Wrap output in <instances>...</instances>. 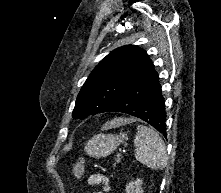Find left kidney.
<instances>
[{
    "mask_svg": "<svg viewBox=\"0 0 221 193\" xmlns=\"http://www.w3.org/2000/svg\"><path fill=\"white\" fill-rule=\"evenodd\" d=\"M143 184V181L140 179L135 180L134 182H130L126 186V193H143V190L141 188Z\"/></svg>",
    "mask_w": 221,
    "mask_h": 193,
    "instance_id": "left-kidney-1",
    "label": "left kidney"
}]
</instances>
